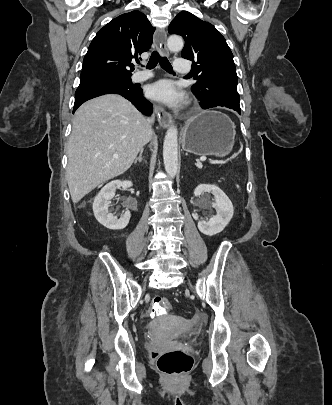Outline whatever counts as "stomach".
Segmentation results:
<instances>
[{
    "mask_svg": "<svg viewBox=\"0 0 332 405\" xmlns=\"http://www.w3.org/2000/svg\"><path fill=\"white\" fill-rule=\"evenodd\" d=\"M235 127L223 113L203 111L189 120L183 129L182 147L186 152L224 157L234 145Z\"/></svg>",
    "mask_w": 332,
    "mask_h": 405,
    "instance_id": "stomach-1",
    "label": "stomach"
}]
</instances>
